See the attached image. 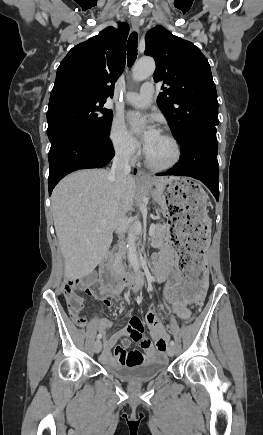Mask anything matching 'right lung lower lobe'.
Here are the masks:
<instances>
[{"label":"right lung lower lobe","instance_id":"obj_1","mask_svg":"<svg viewBox=\"0 0 263 435\" xmlns=\"http://www.w3.org/2000/svg\"><path fill=\"white\" fill-rule=\"evenodd\" d=\"M49 151V195L67 174L87 168H101L114 156L109 136L100 138L82 130H62L52 138Z\"/></svg>","mask_w":263,"mask_h":435}]
</instances>
